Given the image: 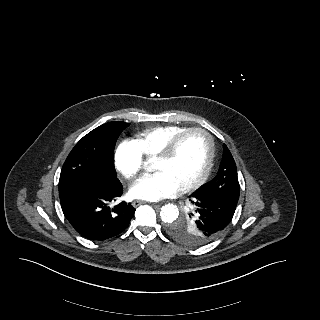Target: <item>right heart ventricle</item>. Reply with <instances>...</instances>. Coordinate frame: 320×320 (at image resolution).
Segmentation results:
<instances>
[{
    "instance_id": "1",
    "label": "right heart ventricle",
    "mask_w": 320,
    "mask_h": 320,
    "mask_svg": "<svg viewBox=\"0 0 320 320\" xmlns=\"http://www.w3.org/2000/svg\"><path fill=\"white\" fill-rule=\"evenodd\" d=\"M186 129L180 125L156 126L138 133L133 141L145 158L155 159L177 134Z\"/></svg>"
}]
</instances>
